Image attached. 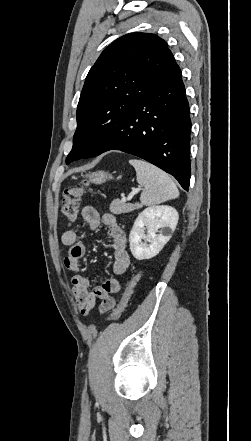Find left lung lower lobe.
Listing matches in <instances>:
<instances>
[{
  "label": "left lung lower lobe",
  "instance_id": "obj_1",
  "mask_svg": "<svg viewBox=\"0 0 251 441\" xmlns=\"http://www.w3.org/2000/svg\"><path fill=\"white\" fill-rule=\"evenodd\" d=\"M190 132L189 103L173 57L150 84L147 95L125 117L94 129L89 157L120 150L156 165L188 190Z\"/></svg>",
  "mask_w": 251,
  "mask_h": 441
}]
</instances>
